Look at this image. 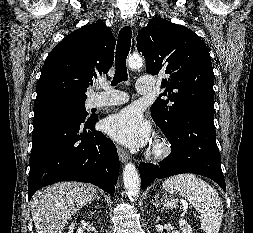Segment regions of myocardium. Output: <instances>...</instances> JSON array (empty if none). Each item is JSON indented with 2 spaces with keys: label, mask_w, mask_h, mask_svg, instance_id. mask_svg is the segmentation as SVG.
Here are the masks:
<instances>
[{
  "label": "myocardium",
  "mask_w": 253,
  "mask_h": 233,
  "mask_svg": "<svg viewBox=\"0 0 253 233\" xmlns=\"http://www.w3.org/2000/svg\"><path fill=\"white\" fill-rule=\"evenodd\" d=\"M172 149V144L168 138L159 137L152 144L149 155L153 159H164L171 155Z\"/></svg>",
  "instance_id": "1"
}]
</instances>
